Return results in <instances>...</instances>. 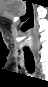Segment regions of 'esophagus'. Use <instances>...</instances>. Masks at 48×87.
<instances>
[{
	"label": "esophagus",
	"mask_w": 48,
	"mask_h": 87,
	"mask_svg": "<svg viewBox=\"0 0 48 87\" xmlns=\"http://www.w3.org/2000/svg\"><path fill=\"white\" fill-rule=\"evenodd\" d=\"M34 60H35L36 67L39 68V65H38L37 57L36 56H34Z\"/></svg>",
	"instance_id": "esophagus-1"
}]
</instances>
